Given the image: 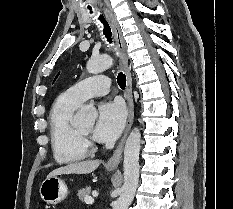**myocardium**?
<instances>
[{
	"mask_svg": "<svg viewBox=\"0 0 233 209\" xmlns=\"http://www.w3.org/2000/svg\"><path fill=\"white\" fill-rule=\"evenodd\" d=\"M79 138L81 140L82 146L87 152H95L97 150V145L92 141L90 135L83 133L77 128Z\"/></svg>",
	"mask_w": 233,
	"mask_h": 209,
	"instance_id": "1",
	"label": "myocardium"
}]
</instances>
